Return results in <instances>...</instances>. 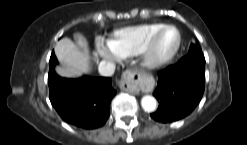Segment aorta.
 <instances>
[{
  "instance_id": "1",
  "label": "aorta",
  "mask_w": 247,
  "mask_h": 145,
  "mask_svg": "<svg viewBox=\"0 0 247 145\" xmlns=\"http://www.w3.org/2000/svg\"><path fill=\"white\" fill-rule=\"evenodd\" d=\"M142 108L147 112H153L157 108V101L153 96L146 95L141 100Z\"/></svg>"
}]
</instances>
